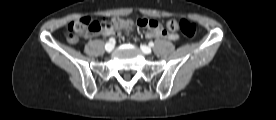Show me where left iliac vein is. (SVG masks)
<instances>
[{
  "instance_id": "obj_1",
  "label": "left iliac vein",
  "mask_w": 276,
  "mask_h": 120,
  "mask_svg": "<svg viewBox=\"0 0 276 120\" xmlns=\"http://www.w3.org/2000/svg\"><path fill=\"white\" fill-rule=\"evenodd\" d=\"M141 50L143 51V53L145 54H151L152 50L150 47L146 46V45H141Z\"/></svg>"
}]
</instances>
